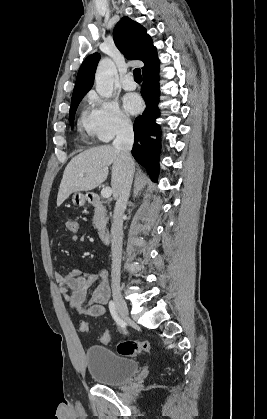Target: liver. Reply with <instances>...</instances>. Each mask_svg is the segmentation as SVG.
I'll return each mask as SVG.
<instances>
[{
    "mask_svg": "<svg viewBox=\"0 0 267 419\" xmlns=\"http://www.w3.org/2000/svg\"><path fill=\"white\" fill-rule=\"evenodd\" d=\"M111 169V186L114 198L124 172L123 159L112 145L93 147L71 159L60 183L57 206H60L74 192L89 191L103 183Z\"/></svg>",
    "mask_w": 267,
    "mask_h": 419,
    "instance_id": "liver-1",
    "label": "liver"
}]
</instances>
